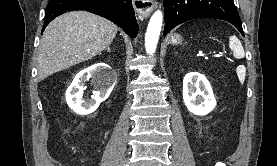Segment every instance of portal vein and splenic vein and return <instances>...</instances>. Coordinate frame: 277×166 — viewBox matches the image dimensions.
<instances>
[{
  "instance_id": "obj_1",
  "label": "portal vein and splenic vein",
  "mask_w": 277,
  "mask_h": 166,
  "mask_svg": "<svg viewBox=\"0 0 277 166\" xmlns=\"http://www.w3.org/2000/svg\"><path fill=\"white\" fill-rule=\"evenodd\" d=\"M212 57H221V55H213ZM205 58H207V57H205Z\"/></svg>"
}]
</instances>
